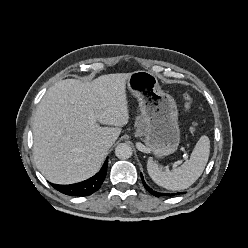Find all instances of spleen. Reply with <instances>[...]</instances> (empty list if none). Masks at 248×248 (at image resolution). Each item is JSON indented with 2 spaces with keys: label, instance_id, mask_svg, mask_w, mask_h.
<instances>
[{
  "label": "spleen",
  "instance_id": "obj_1",
  "mask_svg": "<svg viewBox=\"0 0 248 248\" xmlns=\"http://www.w3.org/2000/svg\"><path fill=\"white\" fill-rule=\"evenodd\" d=\"M210 153V141L206 135L200 137L190 159L173 170L164 169L152 159L147 162V170L152 180L159 186L179 191L190 187L203 173Z\"/></svg>",
  "mask_w": 248,
  "mask_h": 248
}]
</instances>
